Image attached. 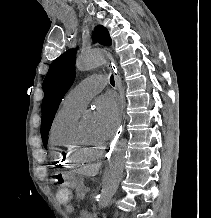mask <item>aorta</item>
<instances>
[{
    "mask_svg": "<svg viewBox=\"0 0 211 218\" xmlns=\"http://www.w3.org/2000/svg\"><path fill=\"white\" fill-rule=\"evenodd\" d=\"M106 53L102 50L94 49L81 53L76 60V69L78 71H87L102 65L105 62ZM93 122V116L86 114L83 117V123L90 125ZM127 156V142L120 140L115 146L108 160V168L106 169L103 180L102 190L97 199L100 207H106L113 195L116 193Z\"/></svg>",
    "mask_w": 211,
    "mask_h": 218,
    "instance_id": "1",
    "label": "aorta"
}]
</instances>
